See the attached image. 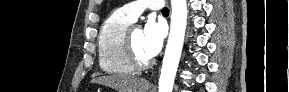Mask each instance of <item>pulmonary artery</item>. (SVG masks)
Returning <instances> with one entry per match:
<instances>
[{"instance_id": "e3ab8cb5", "label": "pulmonary artery", "mask_w": 289, "mask_h": 92, "mask_svg": "<svg viewBox=\"0 0 289 92\" xmlns=\"http://www.w3.org/2000/svg\"><path fill=\"white\" fill-rule=\"evenodd\" d=\"M163 6L164 2L162 0H140L125 4L119 10L134 22L145 9L161 10Z\"/></svg>"}]
</instances>
